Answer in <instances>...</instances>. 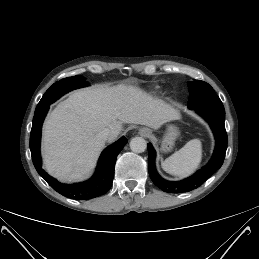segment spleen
Here are the masks:
<instances>
[{
	"mask_svg": "<svg viewBox=\"0 0 259 259\" xmlns=\"http://www.w3.org/2000/svg\"><path fill=\"white\" fill-rule=\"evenodd\" d=\"M201 160L202 143L199 139H192L163 161L161 166L169 174L186 177L198 168Z\"/></svg>",
	"mask_w": 259,
	"mask_h": 259,
	"instance_id": "obj_1",
	"label": "spleen"
}]
</instances>
